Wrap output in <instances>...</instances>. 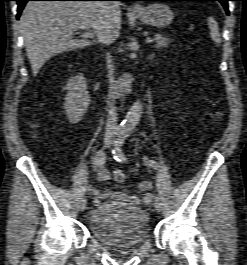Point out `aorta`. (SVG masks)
Returning <instances> with one entry per match:
<instances>
[{"label": "aorta", "mask_w": 247, "mask_h": 265, "mask_svg": "<svg viewBox=\"0 0 247 265\" xmlns=\"http://www.w3.org/2000/svg\"><path fill=\"white\" fill-rule=\"evenodd\" d=\"M142 110L143 107L141 102L140 101L134 102L130 110L128 111L125 119L122 121L120 125L121 131L125 133L132 132L140 121Z\"/></svg>", "instance_id": "1"}]
</instances>
